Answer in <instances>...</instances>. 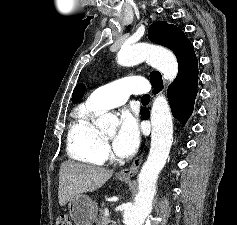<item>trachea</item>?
<instances>
[{
  "instance_id": "obj_1",
  "label": "trachea",
  "mask_w": 237,
  "mask_h": 225,
  "mask_svg": "<svg viewBox=\"0 0 237 225\" xmlns=\"http://www.w3.org/2000/svg\"><path fill=\"white\" fill-rule=\"evenodd\" d=\"M150 100V95L146 94L141 98V101H149Z\"/></svg>"
}]
</instances>
